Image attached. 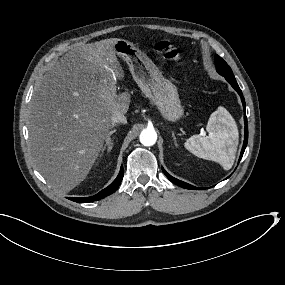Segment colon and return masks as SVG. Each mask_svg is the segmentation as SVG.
<instances>
[{"instance_id":"1","label":"colon","mask_w":285,"mask_h":285,"mask_svg":"<svg viewBox=\"0 0 285 285\" xmlns=\"http://www.w3.org/2000/svg\"><path fill=\"white\" fill-rule=\"evenodd\" d=\"M154 50L166 60L182 65L184 58L180 50L169 40H161L154 44Z\"/></svg>"}]
</instances>
